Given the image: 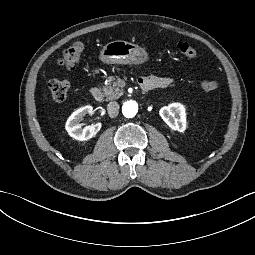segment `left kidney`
<instances>
[{"label": "left kidney", "mask_w": 255, "mask_h": 255, "mask_svg": "<svg viewBox=\"0 0 255 255\" xmlns=\"http://www.w3.org/2000/svg\"><path fill=\"white\" fill-rule=\"evenodd\" d=\"M159 115L171 129L179 132L186 130V109L181 103H171L162 107Z\"/></svg>", "instance_id": "obj_1"}]
</instances>
